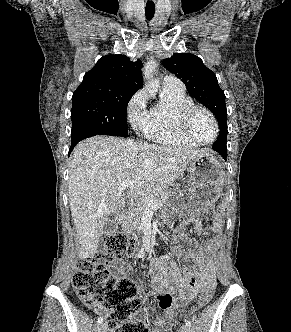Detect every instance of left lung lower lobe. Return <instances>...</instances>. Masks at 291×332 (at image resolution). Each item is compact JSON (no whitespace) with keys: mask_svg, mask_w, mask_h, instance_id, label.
Instances as JSON below:
<instances>
[{"mask_svg":"<svg viewBox=\"0 0 291 332\" xmlns=\"http://www.w3.org/2000/svg\"><path fill=\"white\" fill-rule=\"evenodd\" d=\"M212 148L217 151L218 153H220L222 155V157L226 160V155H227V147L226 144L218 142L215 143Z\"/></svg>","mask_w":291,"mask_h":332,"instance_id":"1","label":"left lung lower lobe"}]
</instances>
